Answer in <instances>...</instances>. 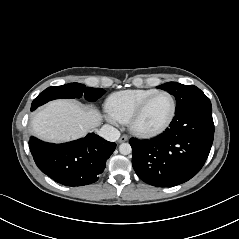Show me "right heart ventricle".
<instances>
[{"instance_id":"obj_1","label":"right heart ventricle","mask_w":239,"mask_h":239,"mask_svg":"<svg viewBox=\"0 0 239 239\" xmlns=\"http://www.w3.org/2000/svg\"><path fill=\"white\" fill-rule=\"evenodd\" d=\"M156 91L155 89H129L114 92L106 99V110L120 122L128 121L140 102Z\"/></svg>"}]
</instances>
